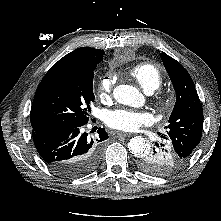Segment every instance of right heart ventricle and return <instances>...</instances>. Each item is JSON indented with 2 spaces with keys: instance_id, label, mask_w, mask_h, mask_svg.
Listing matches in <instances>:
<instances>
[{
  "instance_id": "obj_1",
  "label": "right heart ventricle",
  "mask_w": 221,
  "mask_h": 221,
  "mask_svg": "<svg viewBox=\"0 0 221 221\" xmlns=\"http://www.w3.org/2000/svg\"><path fill=\"white\" fill-rule=\"evenodd\" d=\"M129 73L146 92L150 93L158 89L163 81L161 69L155 64L148 62L132 66Z\"/></svg>"
}]
</instances>
